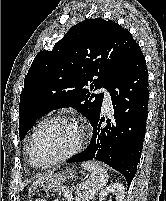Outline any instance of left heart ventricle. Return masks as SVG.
Instances as JSON below:
<instances>
[{
    "label": "left heart ventricle",
    "instance_id": "obj_1",
    "mask_svg": "<svg viewBox=\"0 0 166 201\" xmlns=\"http://www.w3.org/2000/svg\"><path fill=\"white\" fill-rule=\"evenodd\" d=\"M79 139V129L71 122L53 121L37 133L32 145V158L37 165L71 151Z\"/></svg>",
    "mask_w": 166,
    "mask_h": 201
}]
</instances>
